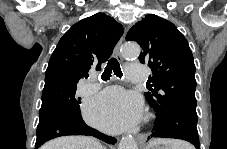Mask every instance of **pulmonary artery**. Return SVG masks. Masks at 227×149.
Masks as SVG:
<instances>
[{
	"mask_svg": "<svg viewBox=\"0 0 227 149\" xmlns=\"http://www.w3.org/2000/svg\"><path fill=\"white\" fill-rule=\"evenodd\" d=\"M127 73L131 82H145L148 79L149 71L142 64L131 63L127 66ZM99 82L95 77H91V83L86 87V92H92L97 89Z\"/></svg>",
	"mask_w": 227,
	"mask_h": 149,
	"instance_id": "obj_1",
	"label": "pulmonary artery"
}]
</instances>
